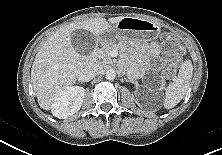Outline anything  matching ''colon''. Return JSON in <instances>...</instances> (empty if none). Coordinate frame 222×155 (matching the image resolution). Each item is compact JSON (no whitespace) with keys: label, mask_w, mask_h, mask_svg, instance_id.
Returning a JSON list of instances; mask_svg holds the SVG:
<instances>
[{"label":"colon","mask_w":222,"mask_h":155,"mask_svg":"<svg viewBox=\"0 0 222 155\" xmlns=\"http://www.w3.org/2000/svg\"><path fill=\"white\" fill-rule=\"evenodd\" d=\"M162 50L165 56L164 73L170 81L176 73L175 58L181 51L180 41L172 34H165L162 38Z\"/></svg>","instance_id":"colon-1"}]
</instances>
